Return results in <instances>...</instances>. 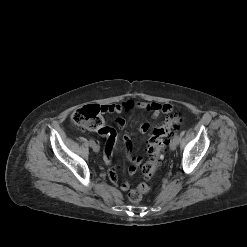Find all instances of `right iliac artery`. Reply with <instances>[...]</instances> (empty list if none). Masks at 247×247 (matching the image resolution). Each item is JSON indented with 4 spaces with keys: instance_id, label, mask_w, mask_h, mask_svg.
<instances>
[{
    "instance_id": "1",
    "label": "right iliac artery",
    "mask_w": 247,
    "mask_h": 247,
    "mask_svg": "<svg viewBox=\"0 0 247 247\" xmlns=\"http://www.w3.org/2000/svg\"><path fill=\"white\" fill-rule=\"evenodd\" d=\"M94 143H95V142H94L92 139L89 140V144H90V145H92V144H94Z\"/></svg>"
}]
</instances>
